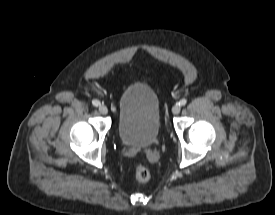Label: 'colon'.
<instances>
[{
	"label": "colon",
	"mask_w": 275,
	"mask_h": 215,
	"mask_svg": "<svg viewBox=\"0 0 275 215\" xmlns=\"http://www.w3.org/2000/svg\"><path fill=\"white\" fill-rule=\"evenodd\" d=\"M134 172H135L136 179L140 182H146L150 179V176H151L150 170L144 165H141V164L136 165Z\"/></svg>",
	"instance_id": "obj_1"
}]
</instances>
